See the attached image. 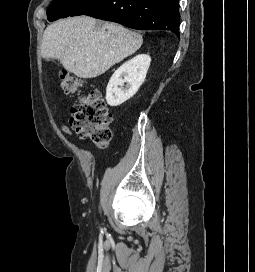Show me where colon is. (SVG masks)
I'll use <instances>...</instances> for the list:
<instances>
[{
	"label": "colon",
	"instance_id": "5ec220e1",
	"mask_svg": "<svg viewBox=\"0 0 255 272\" xmlns=\"http://www.w3.org/2000/svg\"><path fill=\"white\" fill-rule=\"evenodd\" d=\"M59 78L63 91L68 95H80L71 109L70 126L82 139H89L99 148L107 147L112 139L113 115L107 109L101 93L90 90L82 95L86 83L66 70H60Z\"/></svg>",
	"mask_w": 255,
	"mask_h": 272
}]
</instances>
